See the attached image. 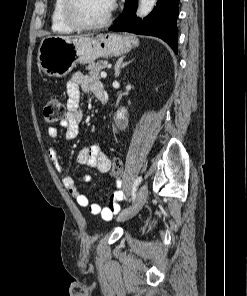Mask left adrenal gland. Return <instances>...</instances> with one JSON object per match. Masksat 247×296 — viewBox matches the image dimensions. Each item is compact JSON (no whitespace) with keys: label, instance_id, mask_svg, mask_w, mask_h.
<instances>
[{"label":"left adrenal gland","instance_id":"left-adrenal-gland-1","mask_svg":"<svg viewBox=\"0 0 247 296\" xmlns=\"http://www.w3.org/2000/svg\"><path fill=\"white\" fill-rule=\"evenodd\" d=\"M124 57H121L118 59V61L115 64V77H118L120 75V71L122 68H124L125 66H127L129 63H131L132 61L129 62H123Z\"/></svg>","mask_w":247,"mask_h":296}]
</instances>
